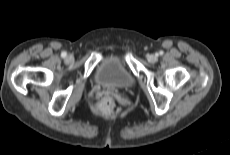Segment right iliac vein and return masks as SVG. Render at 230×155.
<instances>
[{
  "mask_svg": "<svg viewBox=\"0 0 230 155\" xmlns=\"http://www.w3.org/2000/svg\"><path fill=\"white\" fill-rule=\"evenodd\" d=\"M73 60H74V58H73L72 55H68L67 58H66V62H68V63L73 62Z\"/></svg>",
  "mask_w": 230,
  "mask_h": 155,
  "instance_id": "63e3f726",
  "label": "right iliac vein"
}]
</instances>
